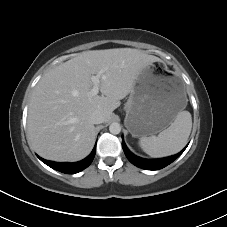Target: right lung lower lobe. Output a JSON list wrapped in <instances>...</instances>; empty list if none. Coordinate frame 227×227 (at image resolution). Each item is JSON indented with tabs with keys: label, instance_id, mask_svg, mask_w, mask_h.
<instances>
[{
	"label": "right lung lower lobe",
	"instance_id": "right-lung-lower-lobe-1",
	"mask_svg": "<svg viewBox=\"0 0 227 227\" xmlns=\"http://www.w3.org/2000/svg\"><path fill=\"white\" fill-rule=\"evenodd\" d=\"M95 153H96V146L85 159H83L79 162H75V163H57V162L45 160L39 156H38V158L42 162H44L46 165H48L49 167H51L57 171H60L62 173H66V174H75V173H78V172L84 170L91 164V162L94 159Z\"/></svg>",
	"mask_w": 227,
	"mask_h": 227
}]
</instances>
